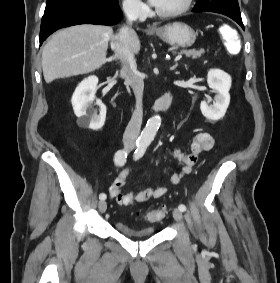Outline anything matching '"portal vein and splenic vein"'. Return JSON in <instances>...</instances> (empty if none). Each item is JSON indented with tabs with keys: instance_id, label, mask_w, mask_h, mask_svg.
Returning <instances> with one entry per match:
<instances>
[{
	"instance_id": "1",
	"label": "portal vein and splenic vein",
	"mask_w": 280,
	"mask_h": 283,
	"mask_svg": "<svg viewBox=\"0 0 280 283\" xmlns=\"http://www.w3.org/2000/svg\"><path fill=\"white\" fill-rule=\"evenodd\" d=\"M181 58H182V54H179V55H177L176 57H175V62H178V61H180L181 60Z\"/></svg>"
}]
</instances>
